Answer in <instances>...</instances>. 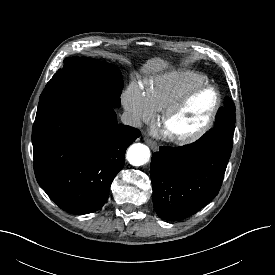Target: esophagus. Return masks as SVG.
I'll list each match as a JSON object with an SVG mask.
<instances>
[{"label":"esophagus","instance_id":"1","mask_svg":"<svg viewBox=\"0 0 275 275\" xmlns=\"http://www.w3.org/2000/svg\"><path fill=\"white\" fill-rule=\"evenodd\" d=\"M145 142L147 143V145L152 149V150H157V144L155 143V141H153L152 139L145 137Z\"/></svg>","mask_w":275,"mask_h":275}]
</instances>
